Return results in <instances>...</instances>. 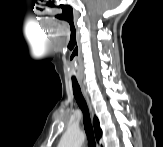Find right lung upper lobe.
I'll return each mask as SVG.
<instances>
[{
  "label": "right lung upper lobe",
  "mask_w": 163,
  "mask_h": 147,
  "mask_svg": "<svg viewBox=\"0 0 163 147\" xmlns=\"http://www.w3.org/2000/svg\"><path fill=\"white\" fill-rule=\"evenodd\" d=\"M94 127H95L96 139L97 141H99V139L102 136V130L100 129L99 120L97 119L96 116L94 117Z\"/></svg>",
  "instance_id": "right-lung-upper-lobe-1"
}]
</instances>
